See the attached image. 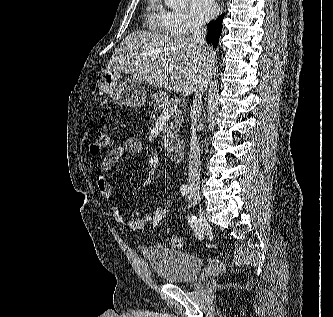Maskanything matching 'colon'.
I'll list each match as a JSON object with an SVG mask.
<instances>
[{
    "label": "colon",
    "instance_id": "colon-1",
    "mask_svg": "<svg viewBox=\"0 0 333 317\" xmlns=\"http://www.w3.org/2000/svg\"><path fill=\"white\" fill-rule=\"evenodd\" d=\"M88 130L91 137L89 149L92 154H99L110 146L111 138L104 129L97 126H90ZM169 215L170 210L167 206L159 207L152 214V221L150 224L156 228L168 219ZM170 245L175 249H180L183 247V240L178 236H174L170 240Z\"/></svg>",
    "mask_w": 333,
    "mask_h": 317
}]
</instances>
